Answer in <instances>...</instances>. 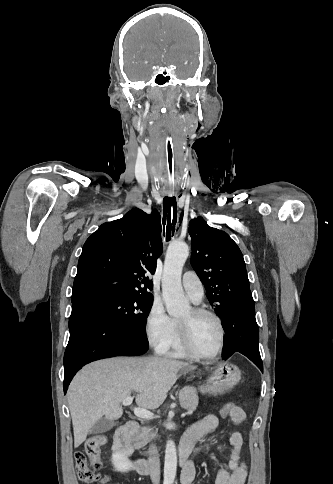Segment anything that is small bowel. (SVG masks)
<instances>
[{"instance_id": "small-bowel-1", "label": "small bowel", "mask_w": 333, "mask_h": 484, "mask_svg": "<svg viewBox=\"0 0 333 484\" xmlns=\"http://www.w3.org/2000/svg\"><path fill=\"white\" fill-rule=\"evenodd\" d=\"M229 418L235 425L241 424L245 419V412L237 406L229 415L222 416ZM219 424V419L213 414L206 415L204 418L194 423L184 434L183 439L192 442L200 440L207 434L213 432ZM229 442L232 450L229 454V459L224 467H222L216 478L215 484H245L247 478V465L241 457V448L243 438L240 432H233L230 436ZM210 448V443H203L196 449V453L207 451ZM195 465L192 460L185 466L181 473L182 484H197L195 483Z\"/></svg>"}]
</instances>
